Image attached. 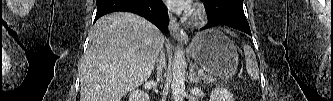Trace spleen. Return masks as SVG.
<instances>
[{"mask_svg":"<svg viewBox=\"0 0 333 101\" xmlns=\"http://www.w3.org/2000/svg\"><path fill=\"white\" fill-rule=\"evenodd\" d=\"M227 33L236 36L235 33L226 30ZM244 53H245V58H246V69L247 73L250 76L252 80H258L259 79V68L258 64L256 61V56L255 53L253 52L252 48L244 44Z\"/></svg>","mask_w":333,"mask_h":101,"instance_id":"3e777b00","label":"spleen"}]
</instances>
